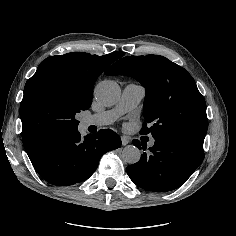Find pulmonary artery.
<instances>
[{"instance_id": "1", "label": "pulmonary artery", "mask_w": 236, "mask_h": 236, "mask_svg": "<svg viewBox=\"0 0 236 236\" xmlns=\"http://www.w3.org/2000/svg\"><path fill=\"white\" fill-rule=\"evenodd\" d=\"M144 96L145 89L141 85L129 83L124 87L121 97L113 109L88 116L86 118V125H109L116 121L122 114L134 109Z\"/></svg>"}]
</instances>
